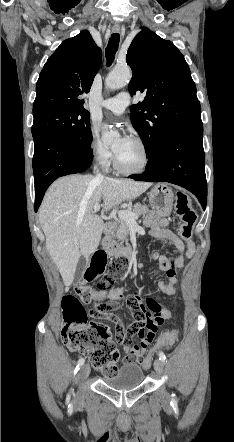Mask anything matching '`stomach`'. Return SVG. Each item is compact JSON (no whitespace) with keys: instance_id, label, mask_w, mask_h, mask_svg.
<instances>
[{"instance_id":"1","label":"stomach","mask_w":234,"mask_h":442,"mask_svg":"<svg viewBox=\"0 0 234 442\" xmlns=\"http://www.w3.org/2000/svg\"><path fill=\"white\" fill-rule=\"evenodd\" d=\"M149 203L154 212L162 217L171 214L174 205V194L166 184H156L149 192Z\"/></svg>"}]
</instances>
